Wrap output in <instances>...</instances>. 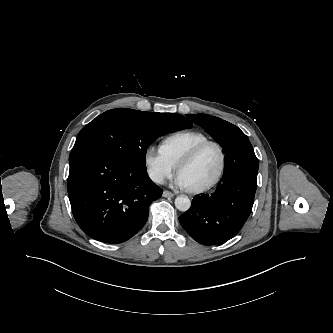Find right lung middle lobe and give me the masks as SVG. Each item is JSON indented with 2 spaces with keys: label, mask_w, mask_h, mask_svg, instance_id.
Returning <instances> with one entry per match:
<instances>
[{
  "label": "right lung middle lobe",
  "mask_w": 333,
  "mask_h": 333,
  "mask_svg": "<svg viewBox=\"0 0 333 333\" xmlns=\"http://www.w3.org/2000/svg\"><path fill=\"white\" fill-rule=\"evenodd\" d=\"M178 115L153 118L142 111L112 109L99 115L78 134L74 147L91 145L135 168H146L147 148L161 135L191 128Z\"/></svg>",
  "instance_id": "obj_1"
}]
</instances>
